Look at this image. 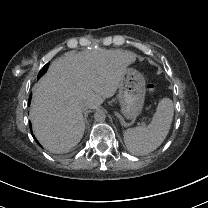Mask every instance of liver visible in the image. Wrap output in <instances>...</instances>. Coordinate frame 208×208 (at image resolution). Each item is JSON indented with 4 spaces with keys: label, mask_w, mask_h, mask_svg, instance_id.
Returning <instances> with one entry per match:
<instances>
[{
    "label": "liver",
    "mask_w": 208,
    "mask_h": 208,
    "mask_svg": "<svg viewBox=\"0 0 208 208\" xmlns=\"http://www.w3.org/2000/svg\"><path fill=\"white\" fill-rule=\"evenodd\" d=\"M135 60L131 51L100 49L53 61L33 88L30 119L39 142L53 153L76 146L85 130L80 103L95 109L112 97Z\"/></svg>",
    "instance_id": "1"
}]
</instances>
